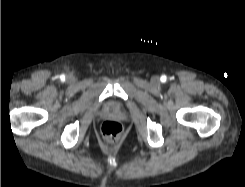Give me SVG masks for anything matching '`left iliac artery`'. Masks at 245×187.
I'll return each mask as SVG.
<instances>
[{
    "instance_id": "obj_1",
    "label": "left iliac artery",
    "mask_w": 245,
    "mask_h": 187,
    "mask_svg": "<svg viewBox=\"0 0 245 187\" xmlns=\"http://www.w3.org/2000/svg\"><path fill=\"white\" fill-rule=\"evenodd\" d=\"M166 76H161V82H166Z\"/></svg>"
}]
</instances>
